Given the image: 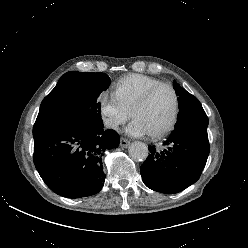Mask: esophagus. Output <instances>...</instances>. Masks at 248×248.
<instances>
[{
    "label": "esophagus",
    "instance_id": "obj_1",
    "mask_svg": "<svg viewBox=\"0 0 248 248\" xmlns=\"http://www.w3.org/2000/svg\"><path fill=\"white\" fill-rule=\"evenodd\" d=\"M129 145V141L127 139L121 138L120 139V146L122 148H126Z\"/></svg>",
    "mask_w": 248,
    "mask_h": 248
}]
</instances>
